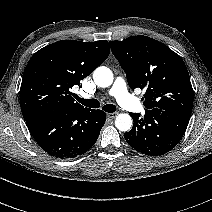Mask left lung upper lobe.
Masks as SVG:
<instances>
[{
  "label": "left lung upper lobe",
  "mask_w": 212,
  "mask_h": 212,
  "mask_svg": "<svg viewBox=\"0 0 212 212\" xmlns=\"http://www.w3.org/2000/svg\"><path fill=\"white\" fill-rule=\"evenodd\" d=\"M111 50L126 73L131 89H146L144 106L191 114L193 89L182 58L147 36L110 41Z\"/></svg>",
  "instance_id": "left-lung-upper-lobe-1"
}]
</instances>
